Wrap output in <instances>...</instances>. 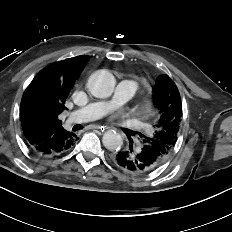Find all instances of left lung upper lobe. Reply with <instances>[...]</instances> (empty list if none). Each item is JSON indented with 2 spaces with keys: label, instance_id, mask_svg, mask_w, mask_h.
<instances>
[{
  "label": "left lung upper lobe",
  "instance_id": "obj_1",
  "mask_svg": "<svg viewBox=\"0 0 232 232\" xmlns=\"http://www.w3.org/2000/svg\"><path fill=\"white\" fill-rule=\"evenodd\" d=\"M153 102L159 115L154 132L149 136L139 135L142 148L164 161L175 146L182 118L181 96L169 76L158 77L153 88Z\"/></svg>",
  "mask_w": 232,
  "mask_h": 232
}]
</instances>
